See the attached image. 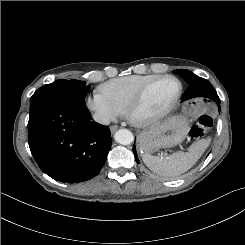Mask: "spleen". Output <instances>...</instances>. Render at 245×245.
Segmentation results:
<instances>
[{"instance_id":"obj_1","label":"spleen","mask_w":245,"mask_h":245,"mask_svg":"<svg viewBox=\"0 0 245 245\" xmlns=\"http://www.w3.org/2000/svg\"><path fill=\"white\" fill-rule=\"evenodd\" d=\"M207 146V140H200L193 143L186 153L178 151L169 156H153L145 153L142 159L155 174L165 179H176L195 165Z\"/></svg>"}]
</instances>
